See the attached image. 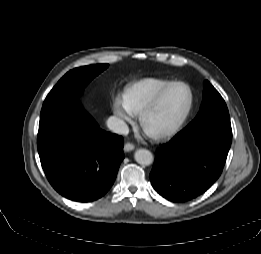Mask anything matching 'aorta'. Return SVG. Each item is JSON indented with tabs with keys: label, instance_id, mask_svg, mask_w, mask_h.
Returning <instances> with one entry per match:
<instances>
[{
	"label": "aorta",
	"instance_id": "obj_1",
	"mask_svg": "<svg viewBox=\"0 0 261 254\" xmlns=\"http://www.w3.org/2000/svg\"><path fill=\"white\" fill-rule=\"evenodd\" d=\"M135 161L140 165H151L154 161L153 154L147 149H139L134 154Z\"/></svg>",
	"mask_w": 261,
	"mask_h": 254
}]
</instances>
